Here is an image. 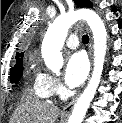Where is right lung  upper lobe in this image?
I'll list each match as a JSON object with an SVG mask.
<instances>
[{
    "label": "right lung upper lobe",
    "instance_id": "obj_1",
    "mask_svg": "<svg viewBox=\"0 0 122 123\" xmlns=\"http://www.w3.org/2000/svg\"><path fill=\"white\" fill-rule=\"evenodd\" d=\"M23 55H24L23 52H16V65H15V67L19 66L20 64H22Z\"/></svg>",
    "mask_w": 122,
    "mask_h": 123
}]
</instances>
